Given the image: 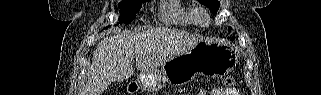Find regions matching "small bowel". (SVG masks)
I'll return each instance as SVG.
<instances>
[{
    "label": "small bowel",
    "instance_id": "c3829d8e",
    "mask_svg": "<svg viewBox=\"0 0 321 95\" xmlns=\"http://www.w3.org/2000/svg\"><path fill=\"white\" fill-rule=\"evenodd\" d=\"M202 94H210V95H237V93L234 90L231 89H216L212 91L211 93H202Z\"/></svg>",
    "mask_w": 321,
    "mask_h": 95
}]
</instances>
